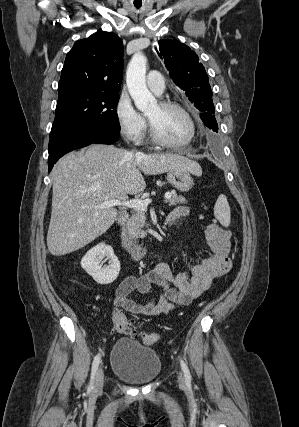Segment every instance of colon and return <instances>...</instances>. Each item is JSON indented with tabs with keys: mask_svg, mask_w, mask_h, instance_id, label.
Masks as SVG:
<instances>
[{
	"mask_svg": "<svg viewBox=\"0 0 299 427\" xmlns=\"http://www.w3.org/2000/svg\"><path fill=\"white\" fill-rule=\"evenodd\" d=\"M112 323L115 330L129 336H136L137 331L132 321H130L123 313L116 311L112 317Z\"/></svg>",
	"mask_w": 299,
	"mask_h": 427,
	"instance_id": "1",
	"label": "colon"
}]
</instances>
